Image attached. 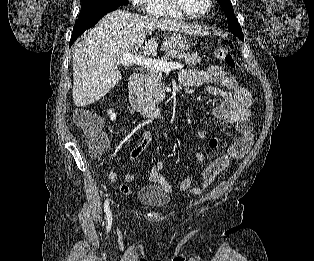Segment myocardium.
Instances as JSON below:
<instances>
[{
  "label": "myocardium",
  "mask_w": 314,
  "mask_h": 261,
  "mask_svg": "<svg viewBox=\"0 0 314 261\" xmlns=\"http://www.w3.org/2000/svg\"><path fill=\"white\" fill-rule=\"evenodd\" d=\"M168 2L171 5V7L175 9L179 14L189 19H201L206 17L211 12L214 4V0H208V7L205 12L201 14H193L184 8L181 0H168Z\"/></svg>",
  "instance_id": "myocardium-1"
}]
</instances>
